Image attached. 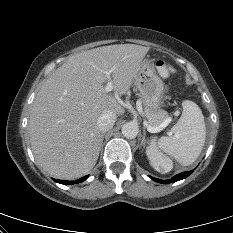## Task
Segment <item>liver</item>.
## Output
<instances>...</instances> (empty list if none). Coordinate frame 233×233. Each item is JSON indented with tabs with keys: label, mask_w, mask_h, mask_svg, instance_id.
<instances>
[{
	"label": "liver",
	"mask_w": 233,
	"mask_h": 233,
	"mask_svg": "<svg viewBox=\"0 0 233 233\" xmlns=\"http://www.w3.org/2000/svg\"><path fill=\"white\" fill-rule=\"evenodd\" d=\"M149 47L102 46L72 55L45 81L31 111L29 134L37 163L59 179L84 176L95 166L101 132L97 120L105 110L122 115L117 99L105 92L112 70L115 95L126 94L142 67Z\"/></svg>",
	"instance_id": "liver-1"
}]
</instances>
